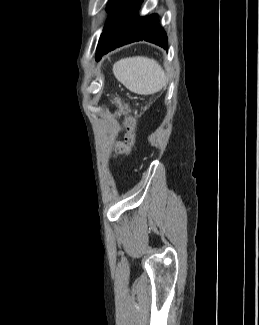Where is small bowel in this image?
<instances>
[{
  "instance_id": "1",
  "label": "small bowel",
  "mask_w": 259,
  "mask_h": 325,
  "mask_svg": "<svg viewBox=\"0 0 259 325\" xmlns=\"http://www.w3.org/2000/svg\"><path fill=\"white\" fill-rule=\"evenodd\" d=\"M118 150L120 152H127L128 151V147L125 144H119L118 145Z\"/></svg>"
}]
</instances>
